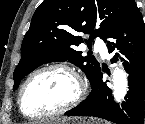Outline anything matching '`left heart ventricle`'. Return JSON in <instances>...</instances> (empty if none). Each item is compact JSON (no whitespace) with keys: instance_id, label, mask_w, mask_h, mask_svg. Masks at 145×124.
<instances>
[{"instance_id":"left-heart-ventricle-1","label":"left heart ventricle","mask_w":145,"mask_h":124,"mask_svg":"<svg viewBox=\"0 0 145 124\" xmlns=\"http://www.w3.org/2000/svg\"><path fill=\"white\" fill-rule=\"evenodd\" d=\"M78 92L75 79L62 70H49L35 77L25 90L23 108L28 114H40L71 101Z\"/></svg>"}]
</instances>
